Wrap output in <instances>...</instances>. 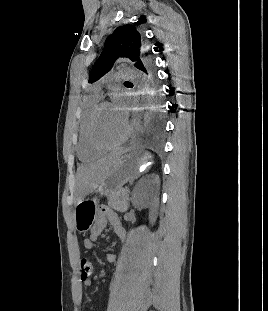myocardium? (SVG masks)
<instances>
[{"instance_id": "f54148a6", "label": "myocardium", "mask_w": 268, "mask_h": 311, "mask_svg": "<svg viewBox=\"0 0 268 311\" xmlns=\"http://www.w3.org/2000/svg\"><path fill=\"white\" fill-rule=\"evenodd\" d=\"M110 105V103L108 101H102L100 103H98L95 108L92 110L89 119H88V123H87V136H88V140L91 144V146L93 148H95L96 150L99 151H105V150H110L113 148H116L118 146H120L121 144H123L131 135V125L129 123H127V128L126 131L124 133V135L117 140L116 142L110 143V144H106L101 142L96 135V121L98 118V115L100 114L101 110Z\"/></svg>"}]
</instances>
